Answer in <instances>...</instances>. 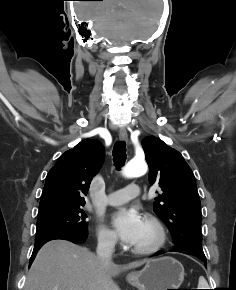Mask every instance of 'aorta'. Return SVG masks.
<instances>
[{"label":"aorta","mask_w":236,"mask_h":290,"mask_svg":"<svg viewBox=\"0 0 236 290\" xmlns=\"http://www.w3.org/2000/svg\"><path fill=\"white\" fill-rule=\"evenodd\" d=\"M147 172V165L143 160L133 159L127 163L122 170V175L126 178H136Z\"/></svg>","instance_id":"obj_1"}]
</instances>
